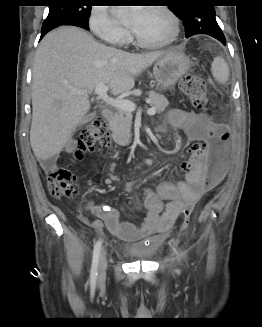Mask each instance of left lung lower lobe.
Masks as SVG:
<instances>
[{
	"instance_id": "1",
	"label": "left lung lower lobe",
	"mask_w": 262,
	"mask_h": 327,
	"mask_svg": "<svg viewBox=\"0 0 262 327\" xmlns=\"http://www.w3.org/2000/svg\"><path fill=\"white\" fill-rule=\"evenodd\" d=\"M221 29V28H220ZM195 34H207V35H210V36H212V37H214V38H216L217 40H219L222 44H226V39H225V37H224V35H223V32H222V30H220V31H213V32H209V33H204L203 31L202 32H195V33H192V35H195ZM192 35H190V36H192ZM189 35H186V37H190Z\"/></svg>"
}]
</instances>
